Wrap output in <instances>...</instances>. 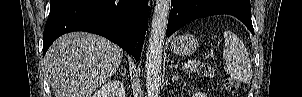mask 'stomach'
<instances>
[{
    "mask_svg": "<svg viewBox=\"0 0 302 97\" xmlns=\"http://www.w3.org/2000/svg\"><path fill=\"white\" fill-rule=\"evenodd\" d=\"M197 47V38L189 33L174 37L170 44L171 51L179 56L191 55L196 51Z\"/></svg>",
    "mask_w": 302,
    "mask_h": 97,
    "instance_id": "obj_1",
    "label": "stomach"
}]
</instances>
